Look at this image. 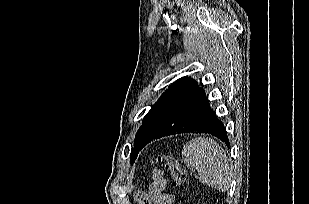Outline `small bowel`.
Wrapping results in <instances>:
<instances>
[{"instance_id":"1","label":"small bowel","mask_w":309,"mask_h":204,"mask_svg":"<svg viewBox=\"0 0 309 204\" xmlns=\"http://www.w3.org/2000/svg\"><path fill=\"white\" fill-rule=\"evenodd\" d=\"M151 175L152 182L149 187V194L146 195L139 192L138 198L143 197L148 204H172L175 200V195L173 193L165 192L167 180L163 172L159 169H153Z\"/></svg>"}]
</instances>
